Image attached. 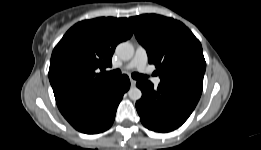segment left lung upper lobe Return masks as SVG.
Returning <instances> with one entry per match:
<instances>
[{"label":"left lung upper lobe","mask_w":261,"mask_h":150,"mask_svg":"<svg viewBox=\"0 0 261 150\" xmlns=\"http://www.w3.org/2000/svg\"><path fill=\"white\" fill-rule=\"evenodd\" d=\"M135 36L158 68L161 82H186L203 88L206 62L202 46L180 21L156 14L130 17Z\"/></svg>","instance_id":"left-lung-upper-lobe-1"}]
</instances>
